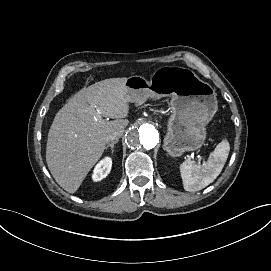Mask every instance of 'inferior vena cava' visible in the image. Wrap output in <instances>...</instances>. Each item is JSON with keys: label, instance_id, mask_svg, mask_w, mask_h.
<instances>
[{"label": "inferior vena cava", "instance_id": "1", "mask_svg": "<svg viewBox=\"0 0 271 271\" xmlns=\"http://www.w3.org/2000/svg\"><path fill=\"white\" fill-rule=\"evenodd\" d=\"M121 135H122L121 132H114L107 137V142L115 141V140L119 139Z\"/></svg>", "mask_w": 271, "mask_h": 271}]
</instances>
